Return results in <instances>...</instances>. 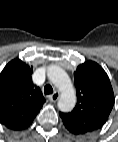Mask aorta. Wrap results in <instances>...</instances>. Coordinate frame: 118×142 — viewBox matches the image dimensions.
Instances as JSON below:
<instances>
[{"label":"aorta","mask_w":118,"mask_h":142,"mask_svg":"<svg viewBox=\"0 0 118 142\" xmlns=\"http://www.w3.org/2000/svg\"><path fill=\"white\" fill-rule=\"evenodd\" d=\"M48 79L59 89L61 96L58 108L62 112H70L76 105V93L68 74L58 66L47 69Z\"/></svg>","instance_id":"obj_1"}]
</instances>
